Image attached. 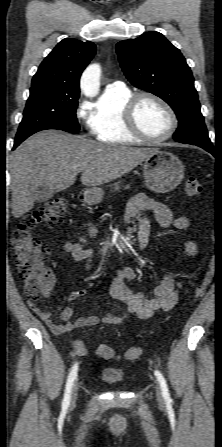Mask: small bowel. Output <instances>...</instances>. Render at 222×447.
Returning <instances> with one entry per match:
<instances>
[{
  "instance_id": "1",
  "label": "small bowel",
  "mask_w": 222,
  "mask_h": 447,
  "mask_svg": "<svg viewBox=\"0 0 222 447\" xmlns=\"http://www.w3.org/2000/svg\"><path fill=\"white\" fill-rule=\"evenodd\" d=\"M145 211H152L156 221L163 228L173 226L179 230H186L190 225L189 219L186 216L175 218L170 208L166 205L156 202L145 194H137L129 201L123 221L125 223L133 220L138 222L140 229L139 248H143V238L148 233V224L142 215ZM184 248L188 256L197 254V245L193 241H186ZM63 250L71 254L75 261H85V270L91 269L94 252L92 249L85 248L83 242L66 243L63 245ZM135 278L136 272L133 268L121 266L117 269L109 285L110 296L125 303L130 314L136 315L140 319H149L156 312H169L176 306L181 284L172 276L165 275L159 284L155 286L153 296L151 297L143 292H134L128 288L127 283L135 280ZM54 285L55 279L52 275L50 282L42 290L41 297L43 299L51 296ZM86 293L87 290L84 288L72 290L68 296V300H77L84 297ZM27 304L45 322L48 328L58 334H66L78 328L92 327L100 321L108 325H120L125 320V316L118 315L114 312H107L102 318L91 315L72 321L74 310L71 307H66L60 312L61 323H55L51 318V313L40 307L36 302L27 301ZM72 351L78 355H86L88 353L86 346L80 341H75L72 344Z\"/></svg>"
}]
</instances>
